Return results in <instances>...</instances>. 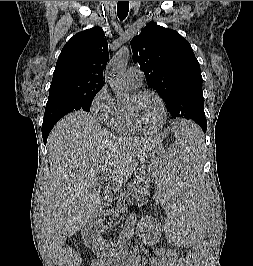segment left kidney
<instances>
[{"label": "left kidney", "instance_id": "left-kidney-1", "mask_svg": "<svg viewBox=\"0 0 253 266\" xmlns=\"http://www.w3.org/2000/svg\"><path fill=\"white\" fill-rule=\"evenodd\" d=\"M163 232V226L153 217H146L141 220L138 226V236L147 245L156 244Z\"/></svg>", "mask_w": 253, "mask_h": 266}]
</instances>
